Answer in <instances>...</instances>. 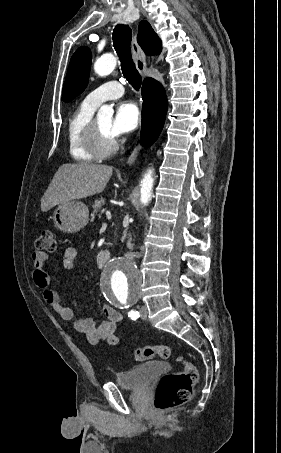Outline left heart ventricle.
Listing matches in <instances>:
<instances>
[{
    "instance_id": "left-heart-ventricle-1",
    "label": "left heart ventricle",
    "mask_w": 281,
    "mask_h": 453,
    "mask_svg": "<svg viewBox=\"0 0 281 453\" xmlns=\"http://www.w3.org/2000/svg\"><path fill=\"white\" fill-rule=\"evenodd\" d=\"M97 121H98V125H99L101 131L103 132V134L105 135V137L107 139H111L113 137L110 132V127H111V123H112L111 117L100 118V119H97Z\"/></svg>"
}]
</instances>
